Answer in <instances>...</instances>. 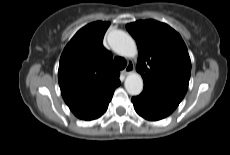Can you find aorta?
<instances>
[{
	"mask_svg": "<svg viewBox=\"0 0 230 155\" xmlns=\"http://www.w3.org/2000/svg\"><path fill=\"white\" fill-rule=\"evenodd\" d=\"M109 44L113 51L124 57H134L137 54L136 43L133 38L124 31H113L109 37ZM125 89L132 95H139L143 90V79L138 73H129L125 79Z\"/></svg>",
	"mask_w": 230,
	"mask_h": 155,
	"instance_id": "obj_1",
	"label": "aorta"
}]
</instances>
